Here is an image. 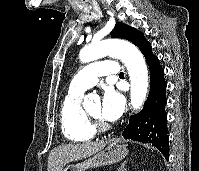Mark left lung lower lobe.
I'll list each match as a JSON object with an SVG mask.
<instances>
[{
	"instance_id": "left-lung-lower-lobe-1",
	"label": "left lung lower lobe",
	"mask_w": 199,
	"mask_h": 171,
	"mask_svg": "<svg viewBox=\"0 0 199 171\" xmlns=\"http://www.w3.org/2000/svg\"><path fill=\"white\" fill-rule=\"evenodd\" d=\"M150 43L140 50L146 58L150 70V92L141 112L131 116L129 124L123 131L125 139L149 143L169 159V136L167 128L166 82L164 70L158 58L152 54Z\"/></svg>"
}]
</instances>
